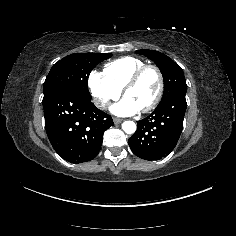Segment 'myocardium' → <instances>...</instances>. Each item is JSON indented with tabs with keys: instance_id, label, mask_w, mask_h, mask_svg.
Segmentation results:
<instances>
[{
	"instance_id": "myocardium-1",
	"label": "myocardium",
	"mask_w": 236,
	"mask_h": 236,
	"mask_svg": "<svg viewBox=\"0 0 236 236\" xmlns=\"http://www.w3.org/2000/svg\"><path fill=\"white\" fill-rule=\"evenodd\" d=\"M148 70H152L155 72L157 79H158V88H157V92L156 95L154 97V99L143 109H141L140 111L142 113H146L151 111L152 109H154L160 102L162 96H163V92H164V76L162 71L155 65H150V64H146L143 65L142 67H140L139 69H137L125 82L123 89H122V95L125 97V93L128 89H130L131 87H133L138 80L141 78V76Z\"/></svg>"
}]
</instances>
